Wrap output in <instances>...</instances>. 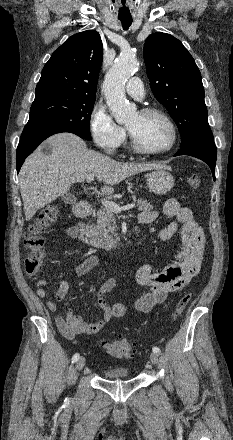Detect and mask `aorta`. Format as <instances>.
I'll list each match as a JSON object with an SVG mask.
<instances>
[{
    "label": "aorta",
    "instance_id": "obj_1",
    "mask_svg": "<svg viewBox=\"0 0 233 440\" xmlns=\"http://www.w3.org/2000/svg\"><path fill=\"white\" fill-rule=\"evenodd\" d=\"M137 61L133 54L123 53L106 74L103 90L106 103L119 124L127 122L136 114V106L125 96V83L136 71Z\"/></svg>",
    "mask_w": 233,
    "mask_h": 440
}]
</instances>
